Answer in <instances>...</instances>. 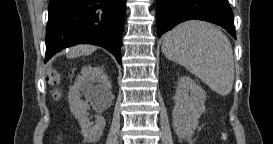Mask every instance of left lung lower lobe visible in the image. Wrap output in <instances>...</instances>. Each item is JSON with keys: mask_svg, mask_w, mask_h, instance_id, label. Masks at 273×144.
<instances>
[{"mask_svg": "<svg viewBox=\"0 0 273 144\" xmlns=\"http://www.w3.org/2000/svg\"><path fill=\"white\" fill-rule=\"evenodd\" d=\"M191 19L220 25L234 38L233 12L228 0H157V35Z\"/></svg>", "mask_w": 273, "mask_h": 144, "instance_id": "left-lung-lower-lobe-1", "label": "left lung lower lobe"}]
</instances>
